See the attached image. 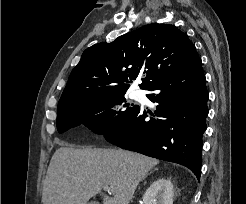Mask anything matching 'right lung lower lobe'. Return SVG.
Returning <instances> with one entry per match:
<instances>
[{
    "instance_id": "right-lung-lower-lobe-1",
    "label": "right lung lower lobe",
    "mask_w": 246,
    "mask_h": 204,
    "mask_svg": "<svg viewBox=\"0 0 246 204\" xmlns=\"http://www.w3.org/2000/svg\"><path fill=\"white\" fill-rule=\"evenodd\" d=\"M201 59L171 72L147 90L157 102L154 113L139 106L119 127L104 134L105 139L123 149L189 168L201 174L202 135L206 130L208 92Z\"/></svg>"
}]
</instances>
